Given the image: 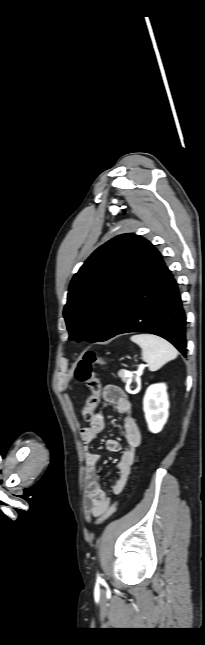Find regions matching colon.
Returning <instances> with one entry per match:
<instances>
[{"mask_svg":"<svg viewBox=\"0 0 205 645\" xmlns=\"http://www.w3.org/2000/svg\"><path fill=\"white\" fill-rule=\"evenodd\" d=\"M104 364L105 361L98 357L94 352H86L78 361L74 375L75 378L87 385L91 391V395L86 401L85 406L82 409V417L84 420L89 421L93 416V411L98 405L99 394H100V382L96 377L93 366L95 364ZM118 502L110 505L98 518L96 525H101L107 519H109L117 510Z\"/></svg>","mask_w":205,"mask_h":645,"instance_id":"obj_1","label":"colon"}]
</instances>
